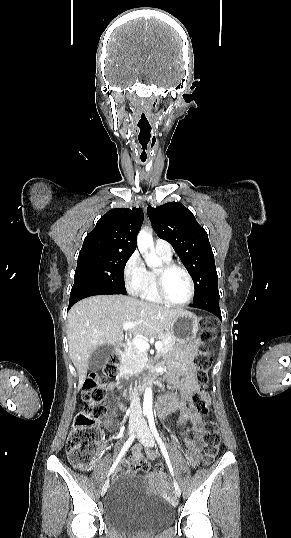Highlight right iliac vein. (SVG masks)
Returning a JSON list of instances; mask_svg holds the SVG:
<instances>
[{
    "instance_id": "1",
    "label": "right iliac vein",
    "mask_w": 291,
    "mask_h": 538,
    "mask_svg": "<svg viewBox=\"0 0 291 538\" xmlns=\"http://www.w3.org/2000/svg\"><path fill=\"white\" fill-rule=\"evenodd\" d=\"M137 426H138V421L137 420H133L130 422L129 424V428H128V434L131 436L134 434L135 430L137 429ZM108 485H109V481H106L102 487V492L101 494L104 495L107 491V488H108Z\"/></svg>"
}]
</instances>
